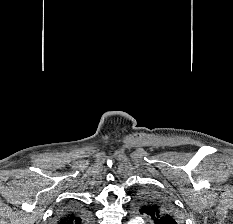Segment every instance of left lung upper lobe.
Listing matches in <instances>:
<instances>
[{
  "label": "left lung upper lobe",
  "mask_w": 233,
  "mask_h": 224,
  "mask_svg": "<svg viewBox=\"0 0 233 224\" xmlns=\"http://www.w3.org/2000/svg\"><path fill=\"white\" fill-rule=\"evenodd\" d=\"M137 209L150 217L154 224H183L173 202L156 191H146L137 198Z\"/></svg>",
  "instance_id": "5c2ea615"
}]
</instances>
